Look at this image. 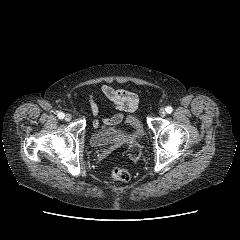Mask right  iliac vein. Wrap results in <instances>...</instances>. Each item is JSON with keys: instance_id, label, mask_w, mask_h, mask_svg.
Returning a JSON list of instances; mask_svg holds the SVG:
<instances>
[{"instance_id": "63e3f726", "label": "right iliac vein", "mask_w": 240, "mask_h": 240, "mask_svg": "<svg viewBox=\"0 0 240 240\" xmlns=\"http://www.w3.org/2000/svg\"><path fill=\"white\" fill-rule=\"evenodd\" d=\"M64 119H65V121L68 122V121H70L72 119V115L67 113L66 115H64Z\"/></svg>"}]
</instances>
